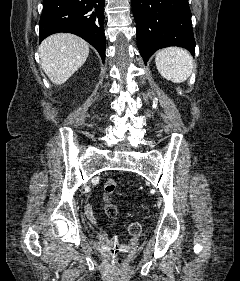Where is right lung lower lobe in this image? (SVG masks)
I'll return each instance as SVG.
<instances>
[{"label": "right lung lower lobe", "mask_w": 240, "mask_h": 281, "mask_svg": "<svg viewBox=\"0 0 240 281\" xmlns=\"http://www.w3.org/2000/svg\"><path fill=\"white\" fill-rule=\"evenodd\" d=\"M104 5L105 0H43L40 42L54 33H73L95 47L104 62Z\"/></svg>", "instance_id": "1"}]
</instances>
